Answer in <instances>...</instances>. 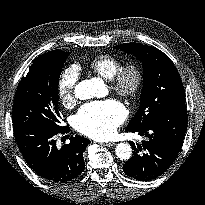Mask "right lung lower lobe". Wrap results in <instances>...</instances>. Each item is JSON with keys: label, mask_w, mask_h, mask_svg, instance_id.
Returning <instances> with one entry per match:
<instances>
[{"label": "right lung lower lobe", "mask_w": 205, "mask_h": 205, "mask_svg": "<svg viewBox=\"0 0 205 205\" xmlns=\"http://www.w3.org/2000/svg\"><path fill=\"white\" fill-rule=\"evenodd\" d=\"M68 132L67 126L59 129L40 124L14 126L18 147L29 167L53 183L69 182L85 169L83 152L90 140L71 136L68 145L56 146L55 136Z\"/></svg>", "instance_id": "obj_1"}]
</instances>
